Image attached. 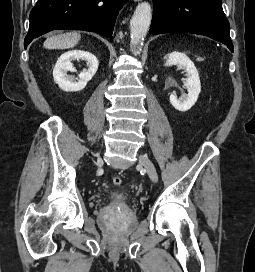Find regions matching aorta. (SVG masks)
I'll use <instances>...</instances> for the list:
<instances>
[{
  "label": "aorta",
  "mask_w": 255,
  "mask_h": 272,
  "mask_svg": "<svg viewBox=\"0 0 255 272\" xmlns=\"http://www.w3.org/2000/svg\"><path fill=\"white\" fill-rule=\"evenodd\" d=\"M152 18L151 6L148 2L138 4L130 21V45L139 47L147 34Z\"/></svg>",
  "instance_id": "1"
}]
</instances>
